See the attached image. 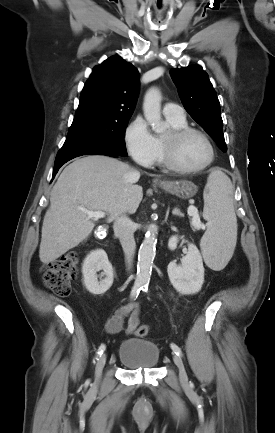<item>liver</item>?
Here are the masks:
<instances>
[{"label":"liver","instance_id":"liver-1","mask_svg":"<svg viewBox=\"0 0 275 433\" xmlns=\"http://www.w3.org/2000/svg\"><path fill=\"white\" fill-rule=\"evenodd\" d=\"M134 173L139 172L104 155H89L69 164L51 191L42 226L40 261L54 262L90 235L94 219L82 209L105 211L108 222L135 213L143 190Z\"/></svg>","mask_w":275,"mask_h":433}]
</instances>
